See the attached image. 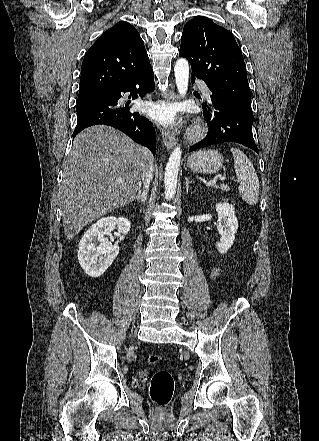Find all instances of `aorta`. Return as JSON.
<instances>
[{"mask_svg": "<svg viewBox=\"0 0 319 441\" xmlns=\"http://www.w3.org/2000/svg\"><path fill=\"white\" fill-rule=\"evenodd\" d=\"M175 81L178 92L185 96L188 89L189 80V62L185 58H180L175 63ZM181 149L176 147L171 153L164 176L165 198L171 200L174 198L177 190V177L181 160Z\"/></svg>", "mask_w": 319, "mask_h": 441, "instance_id": "762f6f07", "label": "aorta"}]
</instances>
